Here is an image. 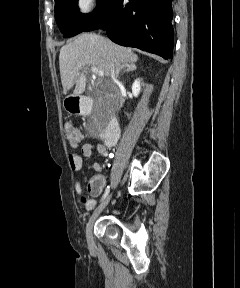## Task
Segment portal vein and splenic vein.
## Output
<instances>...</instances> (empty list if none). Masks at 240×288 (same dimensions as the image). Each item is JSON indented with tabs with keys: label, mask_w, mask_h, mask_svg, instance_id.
Returning a JSON list of instances; mask_svg holds the SVG:
<instances>
[{
	"label": "portal vein and splenic vein",
	"mask_w": 240,
	"mask_h": 288,
	"mask_svg": "<svg viewBox=\"0 0 240 288\" xmlns=\"http://www.w3.org/2000/svg\"><path fill=\"white\" fill-rule=\"evenodd\" d=\"M90 69L93 73L97 74L99 77L104 76V72L99 70L98 68L92 66Z\"/></svg>",
	"instance_id": "18ae733b"
}]
</instances>
